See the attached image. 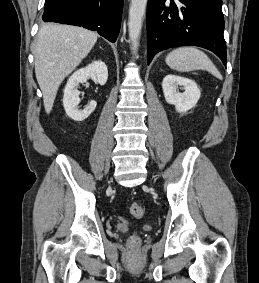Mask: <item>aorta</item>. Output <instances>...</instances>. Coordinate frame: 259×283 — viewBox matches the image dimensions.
Returning <instances> with one entry per match:
<instances>
[{"label": "aorta", "instance_id": "aorta-1", "mask_svg": "<svg viewBox=\"0 0 259 283\" xmlns=\"http://www.w3.org/2000/svg\"><path fill=\"white\" fill-rule=\"evenodd\" d=\"M147 0H131L129 9V42L132 50L137 51L139 45V37L142 29V23L145 15Z\"/></svg>", "mask_w": 259, "mask_h": 283}]
</instances>
